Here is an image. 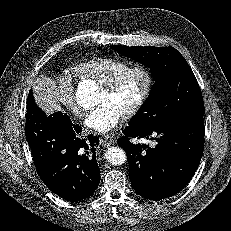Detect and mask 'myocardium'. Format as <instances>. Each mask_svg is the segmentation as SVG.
<instances>
[{"label": "myocardium", "mask_w": 231, "mask_h": 231, "mask_svg": "<svg viewBox=\"0 0 231 231\" xmlns=\"http://www.w3.org/2000/svg\"><path fill=\"white\" fill-rule=\"evenodd\" d=\"M132 72H140L144 76V86L138 98L124 111L125 116H132L137 113L149 98L154 84V77L150 69L142 64L130 65L116 73L107 82L102 84V88L104 90L114 92L122 80Z\"/></svg>", "instance_id": "1"}]
</instances>
